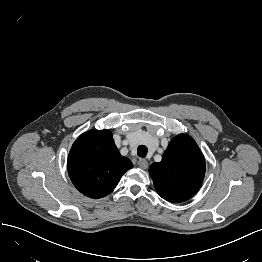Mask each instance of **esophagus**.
<instances>
[{"label": "esophagus", "mask_w": 262, "mask_h": 262, "mask_svg": "<svg viewBox=\"0 0 262 262\" xmlns=\"http://www.w3.org/2000/svg\"><path fill=\"white\" fill-rule=\"evenodd\" d=\"M137 164L142 169H147L149 165L146 159H139Z\"/></svg>", "instance_id": "esophagus-1"}]
</instances>
